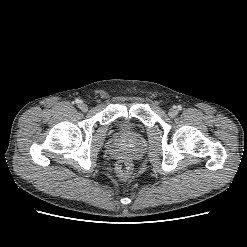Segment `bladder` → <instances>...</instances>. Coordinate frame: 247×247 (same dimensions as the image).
Here are the masks:
<instances>
[{"label": "bladder", "instance_id": "1", "mask_svg": "<svg viewBox=\"0 0 247 247\" xmlns=\"http://www.w3.org/2000/svg\"><path fill=\"white\" fill-rule=\"evenodd\" d=\"M123 127H126L127 125L126 124H122Z\"/></svg>", "mask_w": 247, "mask_h": 247}]
</instances>
